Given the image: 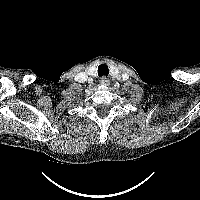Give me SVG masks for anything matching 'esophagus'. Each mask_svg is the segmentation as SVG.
I'll use <instances>...</instances> for the list:
<instances>
[{
	"instance_id": "34e87169",
	"label": "esophagus",
	"mask_w": 200,
	"mask_h": 200,
	"mask_svg": "<svg viewBox=\"0 0 200 200\" xmlns=\"http://www.w3.org/2000/svg\"><path fill=\"white\" fill-rule=\"evenodd\" d=\"M100 84L101 85H109L110 84V80L107 77H102L100 79Z\"/></svg>"
}]
</instances>
